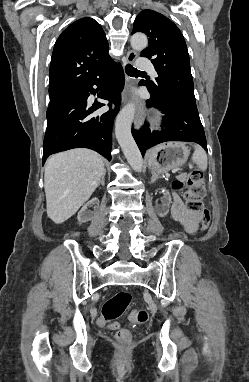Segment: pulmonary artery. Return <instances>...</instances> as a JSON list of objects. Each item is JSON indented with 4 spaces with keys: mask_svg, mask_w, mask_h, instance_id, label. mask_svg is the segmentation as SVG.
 Returning <instances> with one entry per match:
<instances>
[{
    "mask_svg": "<svg viewBox=\"0 0 249 382\" xmlns=\"http://www.w3.org/2000/svg\"><path fill=\"white\" fill-rule=\"evenodd\" d=\"M138 68L141 69V70L150 71L153 76L157 75L155 70H154V67H153L152 63L146 61L145 59H140L139 60Z\"/></svg>",
    "mask_w": 249,
    "mask_h": 382,
    "instance_id": "e3ab8cb5",
    "label": "pulmonary artery"
}]
</instances>
